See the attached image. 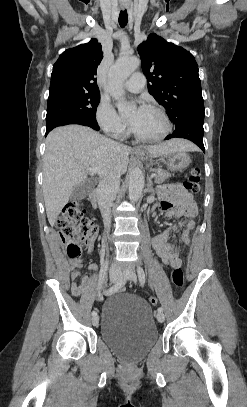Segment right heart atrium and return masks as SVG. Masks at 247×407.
I'll return each instance as SVG.
<instances>
[{
	"label": "right heart atrium",
	"instance_id": "obj_1",
	"mask_svg": "<svg viewBox=\"0 0 247 407\" xmlns=\"http://www.w3.org/2000/svg\"><path fill=\"white\" fill-rule=\"evenodd\" d=\"M95 118L101 129L108 135L116 138H122L125 135L127 125L108 100L99 101Z\"/></svg>",
	"mask_w": 247,
	"mask_h": 407
}]
</instances>
